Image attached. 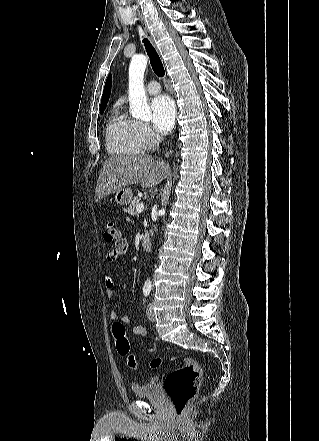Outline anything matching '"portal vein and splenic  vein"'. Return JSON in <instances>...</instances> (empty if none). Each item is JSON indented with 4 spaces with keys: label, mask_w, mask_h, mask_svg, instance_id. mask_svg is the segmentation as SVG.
Returning a JSON list of instances; mask_svg holds the SVG:
<instances>
[{
    "label": "portal vein and splenic vein",
    "mask_w": 319,
    "mask_h": 441,
    "mask_svg": "<svg viewBox=\"0 0 319 441\" xmlns=\"http://www.w3.org/2000/svg\"><path fill=\"white\" fill-rule=\"evenodd\" d=\"M144 210V203H139L137 206H136V213H140V212H142Z\"/></svg>",
    "instance_id": "obj_1"
}]
</instances>
